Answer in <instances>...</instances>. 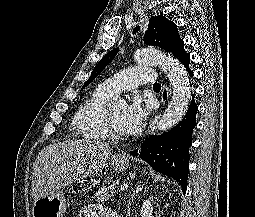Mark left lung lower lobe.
Here are the masks:
<instances>
[{
  "label": "left lung lower lobe",
  "mask_w": 255,
  "mask_h": 217,
  "mask_svg": "<svg viewBox=\"0 0 255 217\" xmlns=\"http://www.w3.org/2000/svg\"><path fill=\"white\" fill-rule=\"evenodd\" d=\"M173 54L192 76L193 71L189 69L190 55L184 51V48ZM163 97L165 99L166 93ZM196 112L197 105L193 96L186 115L175 128L161 136L150 137L143 143L139 152L136 149L130 153L146 161L155 171L175 179L184 193L187 188L189 147L192 143V131L196 126Z\"/></svg>",
  "instance_id": "left-lung-lower-lobe-1"
}]
</instances>
